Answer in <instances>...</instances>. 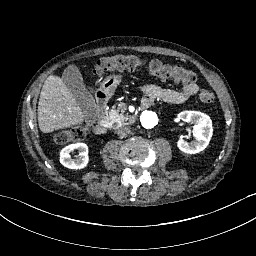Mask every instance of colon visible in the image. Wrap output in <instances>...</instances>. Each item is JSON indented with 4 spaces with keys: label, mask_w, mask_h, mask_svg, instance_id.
I'll return each instance as SVG.
<instances>
[{
    "label": "colon",
    "mask_w": 256,
    "mask_h": 256,
    "mask_svg": "<svg viewBox=\"0 0 256 256\" xmlns=\"http://www.w3.org/2000/svg\"><path fill=\"white\" fill-rule=\"evenodd\" d=\"M144 65H147L152 75L161 79H174L183 84H192L197 80V75L192 70L171 66L157 59L145 61L135 55H116L102 58L96 66L95 74L96 77H102L126 70L134 71ZM198 97L204 103H213L215 101V95L210 90H199ZM88 130L89 127L87 125L75 126L58 133L55 139L58 143L79 142L85 138Z\"/></svg>",
    "instance_id": "1"
}]
</instances>
